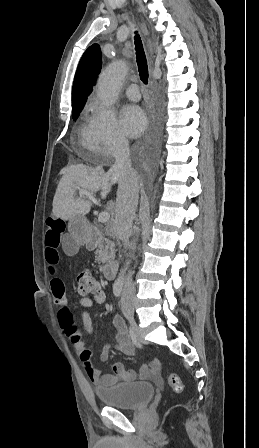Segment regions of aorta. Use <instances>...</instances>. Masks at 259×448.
<instances>
[{
    "label": "aorta",
    "mask_w": 259,
    "mask_h": 448,
    "mask_svg": "<svg viewBox=\"0 0 259 448\" xmlns=\"http://www.w3.org/2000/svg\"><path fill=\"white\" fill-rule=\"evenodd\" d=\"M127 73V65L124 61H116L110 64L100 75L97 83V96L100 102L111 106L118 98V94ZM126 267L124 266L117 278V283H122Z\"/></svg>",
    "instance_id": "aorta-1"
}]
</instances>
